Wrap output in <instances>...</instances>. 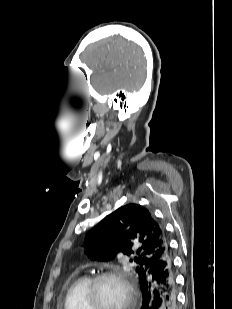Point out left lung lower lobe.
Returning <instances> with one entry per match:
<instances>
[{
    "instance_id": "1",
    "label": "left lung lower lobe",
    "mask_w": 232,
    "mask_h": 309,
    "mask_svg": "<svg viewBox=\"0 0 232 309\" xmlns=\"http://www.w3.org/2000/svg\"><path fill=\"white\" fill-rule=\"evenodd\" d=\"M140 286L143 297L141 309H176L175 269L169 249L151 264Z\"/></svg>"
}]
</instances>
